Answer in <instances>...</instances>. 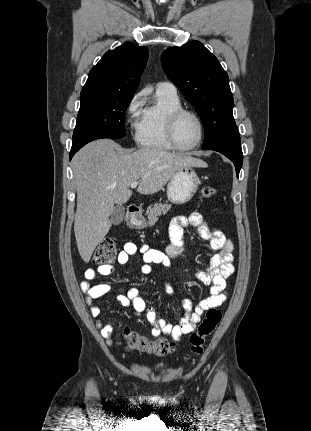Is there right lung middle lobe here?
Returning <instances> with one entry per match:
<instances>
[{
	"label": "right lung middle lobe",
	"instance_id": "right-lung-middle-lobe-1",
	"mask_svg": "<svg viewBox=\"0 0 311 431\" xmlns=\"http://www.w3.org/2000/svg\"><path fill=\"white\" fill-rule=\"evenodd\" d=\"M133 96L105 91L81 92L73 139L95 132L124 137V116Z\"/></svg>",
	"mask_w": 311,
	"mask_h": 431
}]
</instances>
